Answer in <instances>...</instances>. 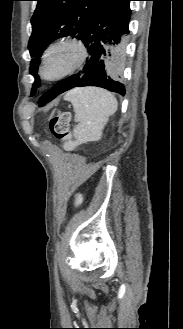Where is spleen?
<instances>
[{
  "label": "spleen",
  "mask_w": 183,
  "mask_h": 329,
  "mask_svg": "<svg viewBox=\"0 0 183 329\" xmlns=\"http://www.w3.org/2000/svg\"><path fill=\"white\" fill-rule=\"evenodd\" d=\"M64 99L72 103L78 124L73 129L75 141L65 145L73 150L78 145L99 141L102 131L117 110V100L112 93L97 87L75 88L68 91Z\"/></svg>",
  "instance_id": "1"
}]
</instances>
